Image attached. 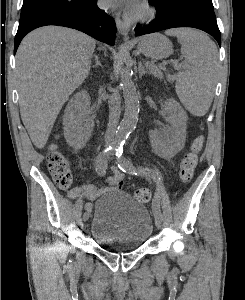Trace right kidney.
Segmentation results:
<instances>
[{
	"instance_id": "right-kidney-1",
	"label": "right kidney",
	"mask_w": 245,
	"mask_h": 300,
	"mask_svg": "<svg viewBox=\"0 0 245 300\" xmlns=\"http://www.w3.org/2000/svg\"><path fill=\"white\" fill-rule=\"evenodd\" d=\"M89 108L90 96L82 90L71 98L65 109L64 136L67 143L76 150L85 146L94 127Z\"/></svg>"
}]
</instances>
